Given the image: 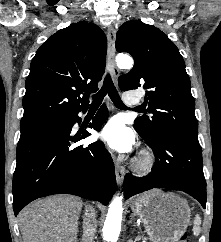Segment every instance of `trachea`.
Here are the masks:
<instances>
[{
	"label": "trachea",
	"mask_w": 221,
	"mask_h": 242,
	"mask_svg": "<svg viewBox=\"0 0 221 242\" xmlns=\"http://www.w3.org/2000/svg\"><path fill=\"white\" fill-rule=\"evenodd\" d=\"M108 93L114 105L119 109H127L125 104L122 102L118 91L116 90L112 79L109 74L106 75L104 79V84L101 90L94 96L91 106H100L104 96ZM136 111H140V109L136 108Z\"/></svg>",
	"instance_id": "obj_1"
}]
</instances>
